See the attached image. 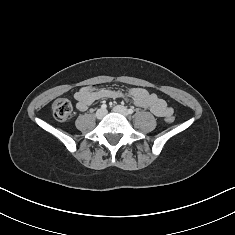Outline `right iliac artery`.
<instances>
[{
	"label": "right iliac artery",
	"instance_id": "82829eb1",
	"mask_svg": "<svg viewBox=\"0 0 235 235\" xmlns=\"http://www.w3.org/2000/svg\"><path fill=\"white\" fill-rule=\"evenodd\" d=\"M106 108H107V105H106V104L101 105V109L106 110Z\"/></svg>",
	"mask_w": 235,
	"mask_h": 235
}]
</instances>
